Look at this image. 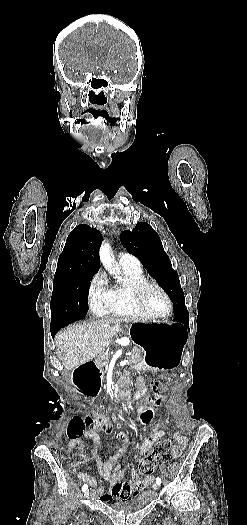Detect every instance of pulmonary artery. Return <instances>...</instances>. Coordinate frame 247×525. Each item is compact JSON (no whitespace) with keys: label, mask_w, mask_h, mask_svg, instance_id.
<instances>
[{"label":"pulmonary artery","mask_w":247,"mask_h":525,"mask_svg":"<svg viewBox=\"0 0 247 525\" xmlns=\"http://www.w3.org/2000/svg\"><path fill=\"white\" fill-rule=\"evenodd\" d=\"M128 256V253L122 252L119 254V257L125 258Z\"/></svg>","instance_id":"1"}]
</instances>
